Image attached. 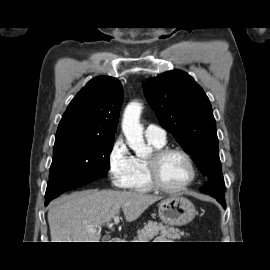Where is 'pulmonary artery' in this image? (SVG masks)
I'll return each mask as SVG.
<instances>
[{
	"instance_id": "pulmonary-artery-1",
	"label": "pulmonary artery",
	"mask_w": 270,
	"mask_h": 270,
	"mask_svg": "<svg viewBox=\"0 0 270 270\" xmlns=\"http://www.w3.org/2000/svg\"><path fill=\"white\" fill-rule=\"evenodd\" d=\"M147 139L154 140L160 143L166 142V131L156 125L150 124L145 129Z\"/></svg>"
}]
</instances>
